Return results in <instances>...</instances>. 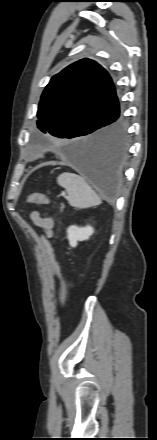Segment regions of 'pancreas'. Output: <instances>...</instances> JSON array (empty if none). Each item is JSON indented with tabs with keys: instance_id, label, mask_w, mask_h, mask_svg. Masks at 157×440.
Here are the masks:
<instances>
[{
	"instance_id": "cf45deb5",
	"label": "pancreas",
	"mask_w": 157,
	"mask_h": 440,
	"mask_svg": "<svg viewBox=\"0 0 157 440\" xmlns=\"http://www.w3.org/2000/svg\"><path fill=\"white\" fill-rule=\"evenodd\" d=\"M64 207H65L64 204H61V211L64 209Z\"/></svg>"
}]
</instances>
